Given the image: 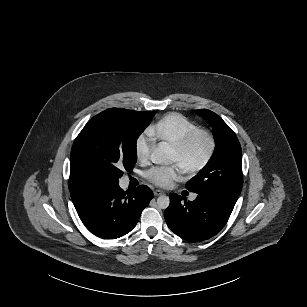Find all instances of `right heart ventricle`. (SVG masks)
<instances>
[{
  "mask_svg": "<svg viewBox=\"0 0 307 307\" xmlns=\"http://www.w3.org/2000/svg\"><path fill=\"white\" fill-rule=\"evenodd\" d=\"M198 131L186 117L168 113L161 120L148 124L145 133L152 139L155 149L161 144L178 145Z\"/></svg>",
  "mask_w": 307,
  "mask_h": 307,
  "instance_id": "right-heart-ventricle-1",
  "label": "right heart ventricle"
}]
</instances>
